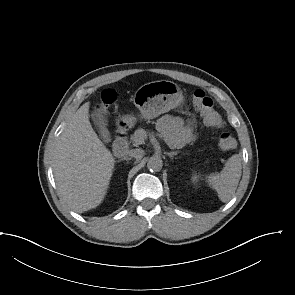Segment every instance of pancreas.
I'll return each mask as SVG.
<instances>
[{"label":"pancreas","mask_w":295,"mask_h":295,"mask_svg":"<svg viewBox=\"0 0 295 295\" xmlns=\"http://www.w3.org/2000/svg\"><path fill=\"white\" fill-rule=\"evenodd\" d=\"M146 131L144 129H137L134 134L131 136V141L134 146H138L144 143L146 138Z\"/></svg>","instance_id":"pancreas-1"}]
</instances>
